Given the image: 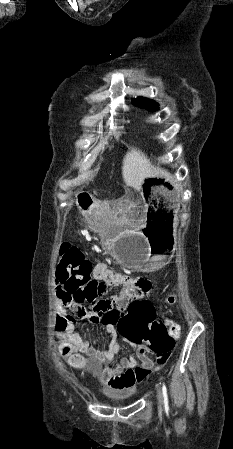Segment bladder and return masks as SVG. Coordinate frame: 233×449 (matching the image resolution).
<instances>
[{"label":"bladder","instance_id":"bladder-1","mask_svg":"<svg viewBox=\"0 0 233 449\" xmlns=\"http://www.w3.org/2000/svg\"><path fill=\"white\" fill-rule=\"evenodd\" d=\"M103 393L107 398L115 402H122L131 398L135 394L133 389L112 390L108 388L103 389Z\"/></svg>","mask_w":233,"mask_h":449}]
</instances>
